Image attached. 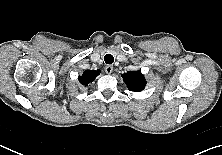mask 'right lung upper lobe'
Segmentation results:
<instances>
[{
  "label": "right lung upper lobe",
  "instance_id": "right-lung-upper-lobe-1",
  "mask_svg": "<svg viewBox=\"0 0 222 155\" xmlns=\"http://www.w3.org/2000/svg\"><path fill=\"white\" fill-rule=\"evenodd\" d=\"M99 74L100 70H86L78 79L82 85L88 86Z\"/></svg>",
  "mask_w": 222,
  "mask_h": 155
}]
</instances>
